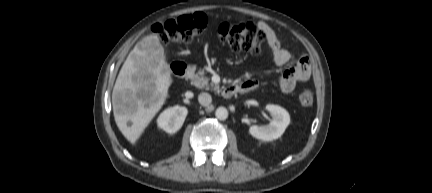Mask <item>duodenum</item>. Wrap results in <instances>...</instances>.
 I'll list each match as a JSON object with an SVG mask.
<instances>
[{"label":"duodenum","instance_id":"duodenum-1","mask_svg":"<svg viewBox=\"0 0 432 193\" xmlns=\"http://www.w3.org/2000/svg\"><path fill=\"white\" fill-rule=\"evenodd\" d=\"M172 72L179 78H188L192 75V69L183 62H173L171 64ZM241 89L238 85H229L223 88L222 96L224 98H230L235 93L240 92Z\"/></svg>","mask_w":432,"mask_h":193}]
</instances>
